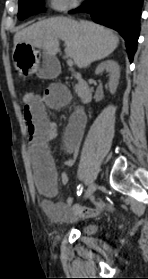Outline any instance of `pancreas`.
<instances>
[{
	"label": "pancreas",
	"instance_id": "pancreas-1",
	"mask_svg": "<svg viewBox=\"0 0 148 279\" xmlns=\"http://www.w3.org/2000/svg\"><path fill=\"white\" fill-rule=\"evenodd\" d=\"M75 91H76V92L78 91V87H77V86L75 87Z\"/></svg>",
	"mask_w": 148,
	"mask_h": 279
}]
</instances>
